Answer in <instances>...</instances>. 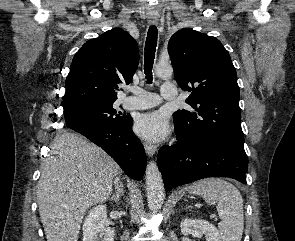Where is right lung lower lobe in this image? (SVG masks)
I'll return each mask as SVG.
<instances>
[{"label": "right lung lower lobe", "mask_w": 295, "mask_h": 241, "mask_svg": "<svg viewBox=\"0 0 295 241\" xmlns=\"http://www.w3.org/2000/svg\"><path fill=\"white\" fill-rule=\"evenodd\" d=\"M132 118L117 125L103 121H86L67 126L84 135L106 151L135 180H142L146 169V155L140 140L132 131Z\"/></svg>", "instance_id": "1"}]
</instances>
